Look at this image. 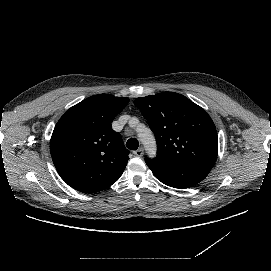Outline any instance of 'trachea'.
I'll list each match as a JSON object with an SVG mask.
<instances>
[{"label": "trachea", "instance_id": "1", "mask_svg": "<svg viewBox=\"0 0 271 271\" xmlns=\"http://www.w3.org/2000/svg\"><path fill=\"white\" fill-rule=\"evenodd\" d=\"M126 147L130 150H136L139 147V142L136 138H130L126 142Z\"/></svg>", "mask_w": 271, "mask_h": 271}]
</instances>
